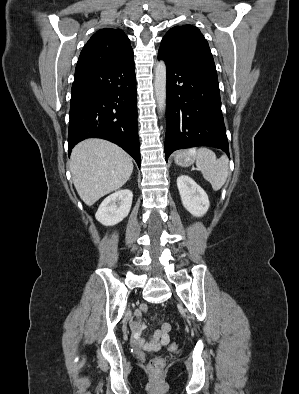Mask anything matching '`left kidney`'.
Instances as JSON below:
<instances>
[{
    "instance_id": "obj_1",
    "label": "left kidney",
    "mask_w": 299,
    "mask_h": 394,
    "mask_svg": "<svg viewBox=\"0 0 299 394\" xmlns=\"http://www.w3.org/2000/svg\"><path fill=\"white\" fill-rule=\"evenodd\" d=\"M177 187L183 206L193 216L202 217L208 211V195L192 178L187 175L179 176Z\"/></svg>"
}]
</instances>
